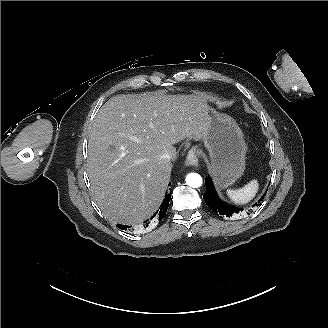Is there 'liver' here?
I'll return each instance as SVG.
<instances>
[{
  "instance_id": "6515ba94",
  "label": "liver",
  "mask_w": 328,
  "mask_h": 328,
  "mask_svg": "<svg viewBox=\"0 0 328 328\" xmlns=\"http://www.w3.org/2000/svg\"><path fill=\"white\" fill-rule=\"evenodd\" d=\"M202 95L159 92L117 95L98 111L90 130L86 170L104 215L124 225L142 223L161 205L174 144L199 141L206 129ZM170 159H163V154Z\"/></svg>"
}]
</instances>
